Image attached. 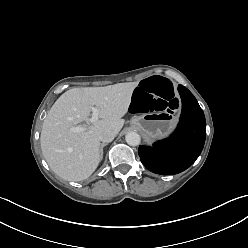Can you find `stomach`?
<instances>
[{"label":"stomach","mask_w":248,"mask_h":248,"mask_svg":"<svg viewBox=\"0 0 248 248\" xmlns=\"http://www.w3.org/2000/svg\"><path fill=\"white\" fill-rule=\"evenodd\" d=\"M177 120V115L173 111L155 113L144 112L135 115L131 124L142 131L148 139H156L165 136Z\"/></svg>","instance_id":"0dacf381"}]
</instances>
